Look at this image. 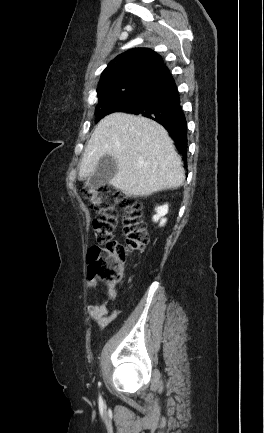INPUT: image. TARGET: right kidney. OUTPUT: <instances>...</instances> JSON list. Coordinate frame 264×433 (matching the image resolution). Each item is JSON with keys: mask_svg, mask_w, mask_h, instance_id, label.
I'll return each instance as SVG.
<instances>
[{"mask_svg": "<svg viewBox=\"0 0 264 433\" xmlns=\"http://www.w3.org/2000/svg\"><path fill=\"white\" fill-rule=\"evenodd\" d=\"M156 215L153 216V221L157 222L160 219V226H163L167 219L163 218L168 213V204L159 206L156 209Z\"/></svg>", "mask_w": 264, "mask_h": 433, "instance_id": "ca27d5eb", "label": "right kidney"}]
</instances>
